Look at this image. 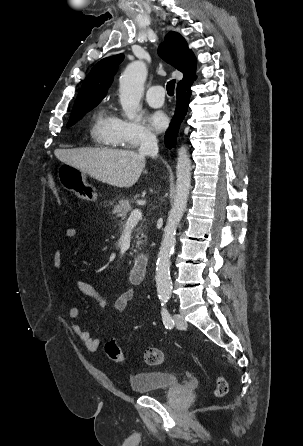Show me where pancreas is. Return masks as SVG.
<instances>
[{
    "instance_id": "cf45deb5",
    "label": "pancreas",
    "mask_w": 303,
    "mask_h": 446,
    "mask_svg": "<svg viewBox=\"0 0 303 446\" xmlns=\"http://www.w3.org/2000/svg\"><path fill=\"white\" fill-rule=\"evenodd\" d=\"M131 210H132V207H131L130 202H129L128 200L121 199V200H119V202L114 206L113 213H115V214H116V217H117V218H120L121 221H122V220H124V219L127 217L128 213H129ZM143 237H144V234H143L142 230L139 228V229L137 230V235H136V238L138 239V242H137L138 245L142 244L141 239H142Z\"/></svg>"
}]
</instances>
